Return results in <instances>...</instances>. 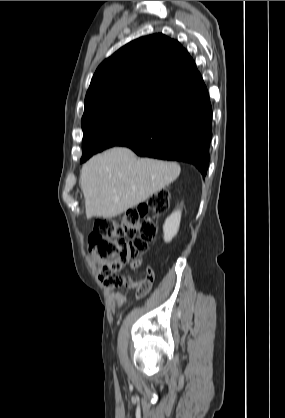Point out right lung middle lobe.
Here are the masks:
<instances>
[{
  "instance_id": "dd1d6c3e",
  "label": "right lung middle lobe",
  "mask_w": 285,
  "mask_h": 418,
  "mask_svg": "<svg viewBox=\"0 0 285 418\" xmlns=\"http://www.w3.org/2000/svg\"><path fill=\"white\" fill-rule=\"evenodd\" d=\"M167 106L144 100H134L104 106L82 118L81 163L93 154L118 146L135 136L166 110Z\"/></svg>"
}]
</instances>
